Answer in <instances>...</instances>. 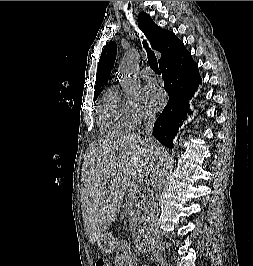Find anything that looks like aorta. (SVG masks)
I'll return each mask as SVG.
<instances>
[{
    "label": "aorta",
    "mask_w": 253,
    "mask_h": 266,
    "mask_svg": "<svg viewBox=\"0 0 253 266\" xmlns=\"http://www.w3.org/2000/svg\"><path fill=\"white\" fill-rule=\"evenodd\" d=\"M138 58V51L136 49H131L125 54L119 67L121 85L128 97H134L140 93L141 85L136 77Z\"/></svg>",
    "instance_id": "aorta-1"
}]
</instances>
